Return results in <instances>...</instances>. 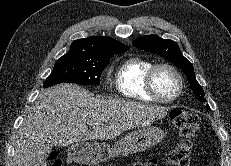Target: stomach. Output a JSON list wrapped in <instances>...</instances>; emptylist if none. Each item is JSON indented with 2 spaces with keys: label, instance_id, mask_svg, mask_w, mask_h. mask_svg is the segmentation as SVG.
I'll use <instances>...</instances> for the list:
<instances>
[{
  "label": "stomach",
  "instance_id": "obj_1",
  "mask_svg": "<svg viewBox=\"0 0 231 166\" xmlns=\"http://www.w3.org/2000/svg\"><path fill=\"white\" fill-rule=\"evenodd\" d=\"M164 131L159 127H143L135 130L114 145L81 141L68 148V158L84 165H98L112 157L127 156L144 151L163 140Z\"/></svg>",
  "mask_w": 231,
  "mask_h": 166
}]
</instances>
